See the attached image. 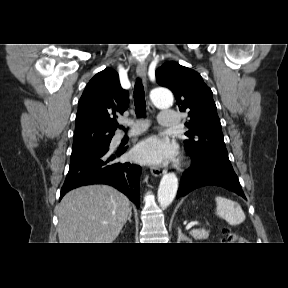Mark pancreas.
Returning <instances> with one entry per match:
<instances>
[{"label": "pancreas", "instance_id": "obj_1", "mask_svg": "<svg viewBox=\"0 0 288 288\" xmlns=\"http://www.w3.org/2000/svg\"><path fill=\"white\" fill-rule=\"evenodd\" d=\"M190 234L195 240H202L208 238L209 231H206L204 229H194L190 232Z\"/></svg>", "mask_w": 288, "mask_h": 288}]
</instances>
